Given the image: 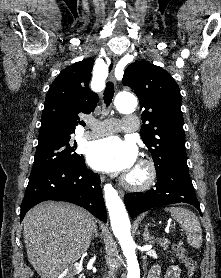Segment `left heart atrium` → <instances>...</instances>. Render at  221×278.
<instances>
[{
  "instance_id": "obj_1",
  "label": "left heart atrium",
  "mask_w": 221,
  "mask_h": 278,
  "mask_svg": "<svg viewBox=\"0 0 221 278\" xmlns=\"http://www.w3.org/2000/svg\"><path fill=\"white\" fill-rule=\"evenodd\" d=\"M137 158L134 143L110 136L90 143L87 161L91 167L104 172H128Z\"/></svg>"
}]
</instances>
